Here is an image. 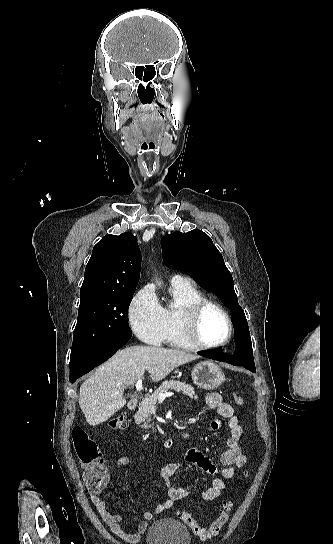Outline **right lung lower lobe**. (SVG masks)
Listing matches in <instances>:
<instances>
[{
	"instance_id": "right-lung-lower-lobe-1",
	"label": "right lung lower lobe",
	"mask_w": 333,
	"mask_h": 544,
	"mask_svg": "<svg viewBox=\"0 0 333 544\" xmlns=\"http://www.w3.org/2000/svg\"><path fill=\"white\" fill-rule=\"evenodd\" d=\"M132 334H119L98 345L94 350L84 356V358L70 366V382L74 383L79 377L91 371L100 365L112 355H114L123 345H125Z\"/></svg>"
}]
</instances>
